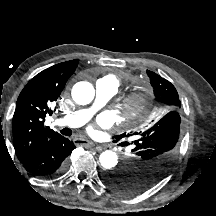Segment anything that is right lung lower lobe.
<instances>
[{
	"label": "right lung lower lobe",
	"mask_w": 216,
	"mask_h": 216,
	"mask_svg": "<svg viewBox=\"0 0 216 216\" xmlns=\"http://www.w3.org/2000/svg\"><path fill=\"white\" fill-rule=\"evenodd\" d=\"M73 149H75L73 142L57 135L41 146L22 164L30 173L50 178L62 171L67 157Z\"/></svg>",
	"instance_id": "obj_1"
}]
</instances>
